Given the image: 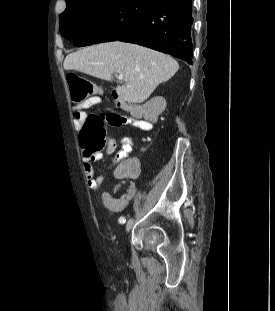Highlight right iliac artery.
I'll use <instances>...</instances> for the list:
<instances>
[{
    "label": "right iliac artery",
    "mask_w": 275,
    "mask_h": 311,
    "mask_svg": "<svg viewBox=\"0 0 275 311\" xmlns=\"http://www.w3.org/2000/svg\"><path fill=\"white\" fill-rule=\"evenodd\" d=\"M125 217H120L119 218V223L124 224L125 223Z\"/></svg>",
    "instance_id": "right-iliac-artery-1"
}]
</instances>
